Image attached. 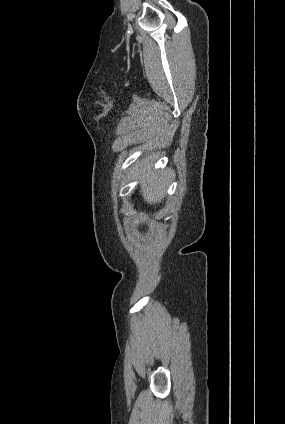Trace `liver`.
<instances>
[{
	"mask_svg": "<svg viewBox=\"0 0 285 424\" xmlns=\"http://www.w3.org/2000/svg\"><path fill=\"white\" fill-rule=\"evenodd\" d=\"M154 159V156H153ZM143 166V173H146L150 168V163L140 164ZM164 173L158 171L156 173L149 174L143 181L141 186L142 197L144 201L149 204H155L160 202L164 198L165 186L163 184Z\"/></svg>",
	"mask_w": 285,
	"mask_h": 424,
	"instance_id": "obj_1",
	"label": "liver"
}]
</instances>
